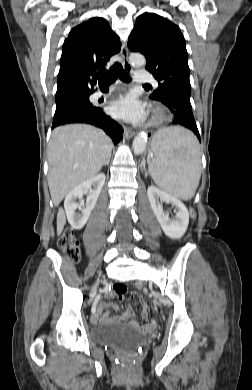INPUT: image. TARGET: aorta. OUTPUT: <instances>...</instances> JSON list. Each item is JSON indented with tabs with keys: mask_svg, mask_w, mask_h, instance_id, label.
<instances>
[{
	"mask_svg": "<svg viewBox=\"0 0 252 390\" xmlns=\"http://www.w3.org/2000/svg\"><path fill=\"white\" fill-rule=\"evenodd\" d=\"M129 61L133 66L141 67L145 65V58L141 54H131L129 57ZM147 143V137L143 133H139L133 140V151L135 154H141L145 148Z\"/></svg>",
	"mask_w": 252,
	"mask_h": 390,
	"instance_id": "obj_1",
	"label": "aorta"
}]
</instances>
